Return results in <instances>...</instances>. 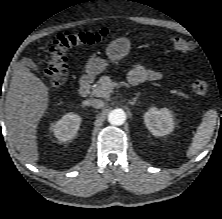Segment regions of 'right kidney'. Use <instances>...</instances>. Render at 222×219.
Masks as SVG:
<instances>
[{
	"label": "right kidney",
	"mask_w": 222,
	"mask_h": 219,
	"mask_svg": "<svg viewBox=\"0 0 222 219\" xmlns=\"http://www.w3.org/2000/svg\"><path fill=\"white\" fill-rule=\"evenodd\" d=\"M81 124V117L75 113H67L50 126V131L60 141L66 142L76 135Z\"/></svg>",
	"instance_id": "1"
}]
</instances>
